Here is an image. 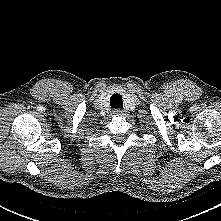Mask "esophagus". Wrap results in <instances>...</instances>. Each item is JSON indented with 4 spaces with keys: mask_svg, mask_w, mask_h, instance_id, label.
Listing matches in <instances>:
<instances>
[{
    "mask_svg": "<svg viewBox=\"0 0 221 221\" xmlns=\"http://www.w3.org/2000/svg\"><path fill=\"white\" fill-rule=\"evenodd\" d=\"M114 114H115V115H121V116H122L124 113H123L122 110L116 109V110H114Z\"/></svg>",
    "mask_w": 221,
    "mask_h": 221,
    "instance_id": "obj_1",
    "label": "esophagus"
}]
</instances>
